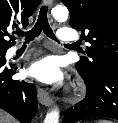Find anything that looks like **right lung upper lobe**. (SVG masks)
Returning a JSON list of instances; mask_svg holds the SVG:
<instances>
[{
  "label": "right lung upper lobe",
  "mask_w": 118,
  "mask_h": 123,
  "mask_svg": "<svg viewBox=\"0 0 118 123\" xmlns=\"http://www.w3.org/2000/svg\"><path fill=\"white\" fill-rule=\"evenodd\" d=\"M41 0H0V51L15 44V37L8 30L28 25V18L33 14ZM10 40H7L6 37Z\"/></svg>",
  "instance_id": "right-lung-upper-lobe-1"
}]
</instances>
